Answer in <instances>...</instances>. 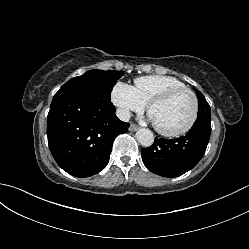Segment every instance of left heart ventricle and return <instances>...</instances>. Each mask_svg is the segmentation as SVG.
I'll return each mask as SVG.
<instances>
[{
	"mask_svg": "<svg viewBox=\"0 0 249 249\" xmlns=\"http://www.w3.org/2000/svg\"><path fill=\"white\" fill-rule=\"evenodd\" d=\"M192 111L191 96L181 93L167 102L156 105L150 115L156 126L166 131H176L189 122Z\"/></svg>",
	"mask_w": 249,
	"mask_h": 249,
	"instance_id": "obj_1",
	"label": "left heart ventricle"
}]
</instances>
